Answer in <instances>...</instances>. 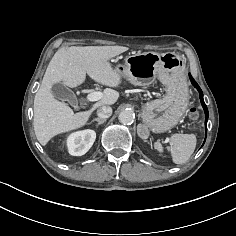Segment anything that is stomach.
Returning a JSON list of instances; mask_svg holds the SVG:
<instances>
[{"label": "stomach", "mask_w": 236, "mask_h": 236, "mask_svg": "<svg viewBox=\"0 0 236 236\" xmlns=\"http://www.w3.org/2000/svg\"><path fill=\"white\" fill-rule=\"evenodd\" d=\"M119 74L136 86H148L158 77L166 85L162 99L142 106L141 118L146 128L155 133L174 127L185 113L189 94L181 59L171 53H131L124 64L115 67Z\"/></svg>", "instance_id": "0dacf381"}]
</instances>
